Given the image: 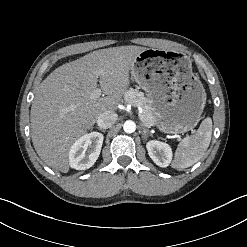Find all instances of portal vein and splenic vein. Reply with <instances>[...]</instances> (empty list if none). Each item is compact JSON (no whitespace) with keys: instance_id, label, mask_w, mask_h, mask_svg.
<instances>
[{"instance_id":"portal-vein-and-splenic-vein-1","label":"portal vein and splenic vein","mask_w":247,"mask_h":247,"mask_svg":"<svg viewBox=\"0 0 247 247\" xmlns=\"http://www.w3.org/2000/svg\"><path fill=\"white\" fill-rule=\"evenodd\" d=\"M101 94H102V91H101V89L100 88H97L92 94H91V98H98V97H100L101 96ZM142 113H141V111H140V114H139V116H140V119L142 120Z\"/></svg>"}]
</instances>
